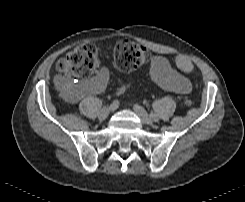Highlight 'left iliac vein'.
<instances>
[{"mask_svg": "<svg viewBox=\"0 0 245 202\" xmlns=\"http://www.w3.org/2000/svg\"><path fill=\"white\" fill-rule=\"evenodd\" d=\"M135 113L139 116V118L141 119V121L144 123V124H147V125H150L152 124L153 122V118H151L147 113L146 111L144 110L143 107H141L140 105L138 104H135L134 107H133Z\"/></svg>", "mask_w": 245, "mask_h": 202, "instance_id": "4c4485c4", "label": "left iliac vein"}]
</instances>
